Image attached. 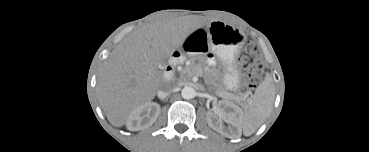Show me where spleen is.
Wrapping results in <instances>:
<instances>
[{
	"label": "spleen",
	"instance_id": "1",
	"mask_svg": "<svg viewBox=\"0 0 369 152\" xmlns=\"http://www.w3.org/2000/svg\"><path fill=\"white\" fill-rule=\"evenodd\" d=\"M274 100V90L270 77H265L258 86L250 106L245 110L242 119L243 129L252 134L270 114Z\"/></svg>",
	"mask_w": 369,
	"mask_h": 152
}]
</instances>
